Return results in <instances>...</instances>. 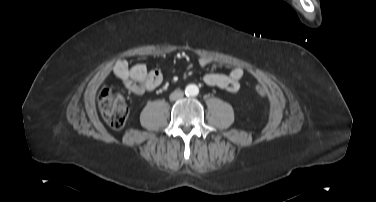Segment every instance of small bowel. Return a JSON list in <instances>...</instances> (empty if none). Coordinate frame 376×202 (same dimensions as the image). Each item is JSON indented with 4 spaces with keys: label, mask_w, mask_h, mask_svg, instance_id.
<instances>
[{
    "label": "small bowel",
    "mask_w": 376,
    "mask_h": 202,
    "mask_svg": "<svg viewBox=\"0 0 376 202\" xmlns=\"http://www.w3.org/2000/svg\"><path fill=\"white\" fill-rule=\"evenodd\" d=\"M201 66L213 64L229 65L227 62H217L208 57L199 60ZM113 73L121 82L122 86L131 94L139 96L145 92L155 90L163 80L162 72L159 69H148L144 64L130 66L124 59L116 61ZM243 77V69L239 66H232L231 70L225 73H207L203 81L208 86L226 89L231 92L240 89V81Z\"/></svg>",
    "instance_id": "small-bowel-1"
}]
</instances>
